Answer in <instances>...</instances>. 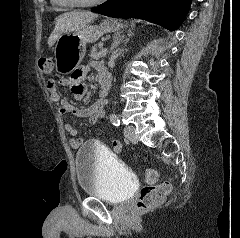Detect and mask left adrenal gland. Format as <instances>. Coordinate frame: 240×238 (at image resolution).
Here are the masks:
<instances>
[{"label":"left adrenal gland","mask_w":240,"mask_h":238,"mask_svg":"<svg viewBox=\"0 0 240 238\" xmlns=\"http://www.w3.org/2000/svg\"><path fill=\"white\" fill-rule=\"evenodd\" d=\"M124 39L123 36H121L120 34H116L113 38V44L111 47L110 52H112V55H114L116 53V51H114V49H116L118 47V45L121 43V41Z\"/></svg>","instance_id":"left-adrenal-gland-1"}]
</instances>
